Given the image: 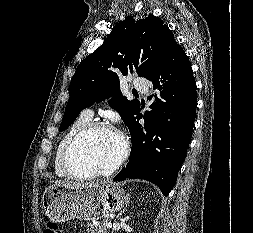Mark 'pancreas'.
<instances>
[{"label": "pancreas", "mask_w": 253, "mask_h": 233, "mask_svg": "<svg viewBox=\"0 0 253 233\" xmlns=\"http://www.w3.org/2000/svg\"><path fill=\"white\" fill-rule=\"evenodd\" d=\"M107 221H103L100 224H96L94 222H87L86 225V231L88 233H106L107 227H106Z\"/></svg>", "instance_id": "1"}]
</instances>
